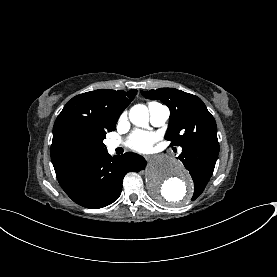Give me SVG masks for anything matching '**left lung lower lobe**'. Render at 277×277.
Returning <instances> with one entry per match:
<instances>
[{
  "label": "left lung lower lobe",
  "mask_w": 277,
  "mask_h": 277,
  "mask_svg": "<svg viewBox=\"0 0 277 277\" xmlns=\"http://www.w3.org/2000/svg\"><path fill=\"white\" fill-rule=\"evenodd\" d=\"M218 154V141L207 139L183 146L179 159L195 182L204 176H212Z\"/></svg>",
  "instance_id": "0a47b994"
}]
</instances>
